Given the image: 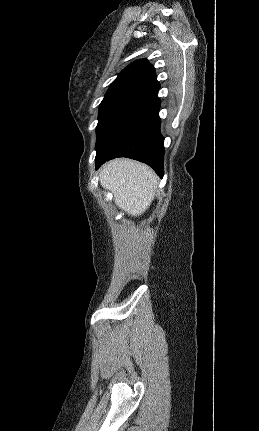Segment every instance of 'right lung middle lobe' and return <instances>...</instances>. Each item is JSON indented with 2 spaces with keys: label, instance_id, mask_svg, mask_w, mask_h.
<instances>
[{
  "label": "right lung middle lobe",
  "instance_id": "1",
  "mask_svg": "<svg viewBox=\"0 0 259 431\" xmlns=\"http://www.w3.org/2000/svg\"><path fill=\"white\" fill-rule=\"evenodd\" d=\"M151 94L153 93L149 89L138 84H128L121 89L107 91L99 106L96 147L133 106Z\"/></svg>",
  "mask_w": 259,
  "mask_h": 431
}]
</instances>
